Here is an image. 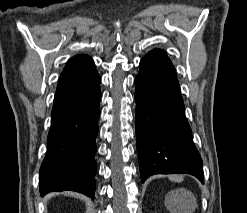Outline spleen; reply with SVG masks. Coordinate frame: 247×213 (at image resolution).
Segmentation results:
<instances>
[{"mask_svg":"<svg viewBox=\"0 0 247 213\" xmlns=\"http://www.w3.org/2000/svg\"><path fill=\"white\" fill-rule=\"evenodd\" d=\"M169 179L171 181H175V182H180L183 180L182 176H178V175H172L169 177ZM169 208L171 210V213H180L179 212V206H182L185 204L186 199L184 197L181 196H175V195H171L170 199H169ZM195 208V204L191 205L188 209V213H192V211Z\"/></svg>","mask_w":247,"mask_h":213,"instance_id":"3e777b00","label":"spleen"}]
</instances>
